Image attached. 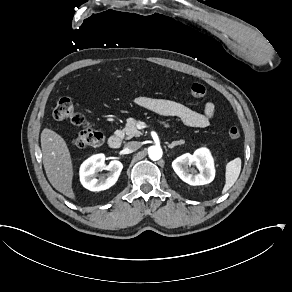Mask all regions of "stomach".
Segmentation results:
<instances>
[{
	"instance_id": "stomach-1",
	"label": "stomach",
	"mask_w": 292,
	"mask_h": 292,
	"mask_svg": "<svg viewBox=\"0 0 292 292\" xmlns=\"http://www.w3.org/2000/svg\"><path fill=\"white\" fill-rule=\"evenodd\" d=\"M124 87H125V83H124V82H120V83L118 84V88H119L120 90H123Z\"/></svg>"
}]
</instances>
